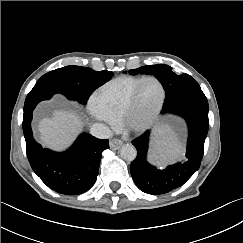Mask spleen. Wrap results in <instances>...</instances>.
<instances>
[{
  "label": "spleen",
  "mask_w": 243,
  "mask_h": 243,
  "mask_svg": "<svg viewBox=\"0 0 243 243\" xmlns=\"http://www.w3.org/2000/svg\"><path fill=\"white\" fill-rule=\"evenodd\" d=\"M181 153L182 145L171 130L167 126L160 128L155 139V152L151 157L172 160ZM158 164L160 163L158 162Z\"/></svg>",
  "instance_id": "3e777b00"
}]
</instances>
